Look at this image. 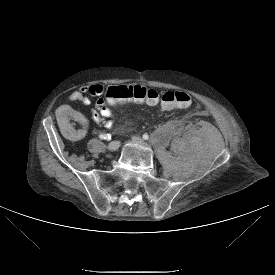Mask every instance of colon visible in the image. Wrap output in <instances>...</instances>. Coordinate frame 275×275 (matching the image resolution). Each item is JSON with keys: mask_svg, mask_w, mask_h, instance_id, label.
I'll use <instances>...</instances> for the list:
<instances>
[{"mask_svg": "<svg viewBox=\"0 0 275 275\" xmlns=\"http://www.w3.org/2000/svg\"><path fill=\"white\" fill-rule=\"evenodd\" d=\"M104 99L111 106L123 101L145 103L148 105H153L160 101L162 108L166 111L186 109L191 104V97L186 92L167 91L159 95L156 90L141 85L111 87L105 93Z\"/></svg>", "mask_w": 275, "mask_h": 275, "instance_id": "obj_1", "label": "colon"}]
</instances>
